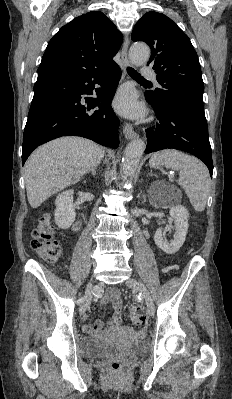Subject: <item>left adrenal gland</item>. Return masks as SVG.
<instances>
[{"mask_svg": "<svg viewBox=\"0 0 232 399\" xmlns=\"http://www.w3.org/2000/svg\"><path fill=\"white\" fill-rule=\"evenodd\" d=\"M148 176H154V174H152V172H150V174H148Z\"/></svg>", "mask_w": 232, "mask_h": 399, "instance_id": "1", "label": "left adrenal gland"}]
</instances>
